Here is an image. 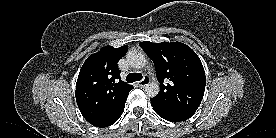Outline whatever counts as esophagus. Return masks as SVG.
Listing matches in <instances>:
<instances>
[{
	"instance_id": "esophagus-1",
	"label": "esophagus",
	"mask_w": 276,
	"mask_h": 138,
	"mask_svg": "<svg viewBox=\"0 0 276 138\" xmlns=\"http://www.w3.org/2000/svg\"><path fill=\"white\" fill-rule=\"evenodd\" d=\"M150 82V79L148 76H144L143 79L141 81L138 82V85L141 88H144L146 85H148V83Z\"/></svg>"
}]
</instances>
